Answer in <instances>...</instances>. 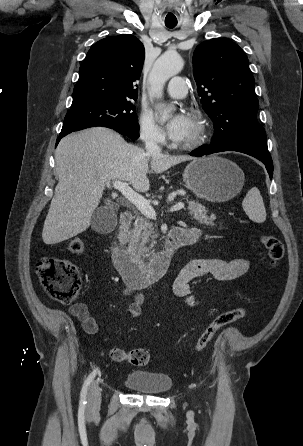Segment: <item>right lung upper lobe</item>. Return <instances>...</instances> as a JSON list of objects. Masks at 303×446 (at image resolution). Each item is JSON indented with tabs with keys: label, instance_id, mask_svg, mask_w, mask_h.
I'll return each instance as SVG.
<instances>
[{
	"label": "right lung upper lobe",
	"instance_id": "cb5924a9",
	"mask_svg": "<svg viewBox=\"0 0 303 446\" xmlns=\"http://www.w3.org/2000/svg\"><path fill=\"white\" fill-rule=\"evenodd\" d=\"M144 57V46L133 35L110 36L95 43L80 66L71 108L137 99L135 83Z\"/></svg>",
	"mask_w": 303,
	"mask_h": 446
}]
</instances>
